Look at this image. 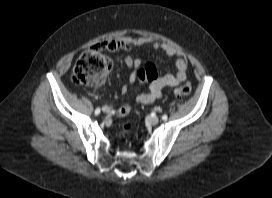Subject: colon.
Masks as SVG:
<instances>
[{"label": "colon", "instance_id": "obj_1", "mask_svg": "<svg viewBox=\"0 0 272 198\" xmlns=\"http://www.w3.org/2000/svg\"><path fill=\"white\" fill-rule=\"evenodd\" d=\"M112 68V61L99 49H92L82 53L77 59L72 70V81L79 86L97 85L103 82L107 73ZM157 73L153 64L147 63L139 71L140 76H153ZM178 96H187L191 92L188 85L180 86L175 90ZM132 130L130 123L122 126V134H128Z\"/></svg>", "mask_w": 272, "mask_h": 198}]
</instances>
